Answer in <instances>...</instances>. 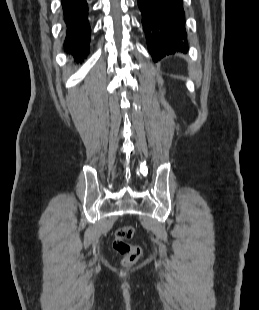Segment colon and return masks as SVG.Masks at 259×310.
Segmentation results:
<instances>
[{
	"mask_svg": "<svg viewBox=\"0 0 259 310\" xmlns=\"http://www.w3.org/2000/svg\"><path fill=\"white\" fill-rule=\"evenodd\" d=\"M133 234L134 228L130 225H125L115 232L112 240L114 251L123 256V263L126 265L136 263L142 255V248L139 245L129 243V239Z\"/></svg>",
	"mask_w": 259,
	"mask_h": 310,
	"instance_id": "obj_1",
	"label": "colon"
}]
</instances>
